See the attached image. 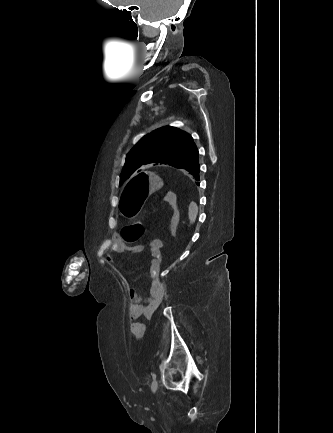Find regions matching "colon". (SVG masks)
Returning a JSON list of instances; mask_svg holds the SVG:
<instances>
[{
	"mask_svg": "<svg viewBox=\"0 0 333 433\" xmlns=\"http://www.w3.org/2000/svg\"><path fill=\"white\" fill-rule=\"evenodd\" d=\"M171 206H176V197L173 193L166 194L164 198ZM177 226V214H174L171 219L172 233L175 232ZM144 233V228L139 221H133L126 224L121 231L122 239L128 244H135L138 242Z\"/></svg>",
	"mask_w": 333,
	"mask_h": 433,
	"instance_id": "5ec220e1",
	"label": "colon"
}]
</instances>
